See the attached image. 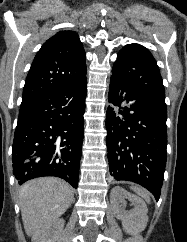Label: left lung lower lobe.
Segmentation results:
<instances>
[{
    "mask_svg": "<svg viewBox=\"0 0 187 242\" xmlns=\"http://www.w3.org/2000/svg\"><path fill=\"white\" fill-rule=\"evenodd\" d=\"M106 113L110 174L148 189L158 201L166 167L167 107L111 76ZM114 106L119 107L117 110Z\"/></svg>",
    "mask_w": 187,
    "mask_h": 242,
    "instance_id": "left-lung-lower-lobe-1",
    "label": "left lung lower lobe"
}]
</instances>
